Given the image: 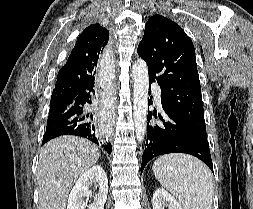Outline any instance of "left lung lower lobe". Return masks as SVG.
I'll use <instances>...</instances> for the list:
<instances>
[{"label": "left lung lower lobe", "instance_id": "1", "mask_svg": "<svg viewBox=\"0 0 253 209\" xmlns=\"http://www.w3.org/2000/svg\"><path fill=\"white\" fill-rule=\"evenodd\" d=\"M153 81L149 79V83ZM152 99V98H150ZM152 101H148V107ZM163 107V106H162ZM164 116L159 115L158 124L150 122L157 112L148 110L147 139L142 156L141 173L146 164L156 156L168 153H187L202 160L212 171L213 165L207 137L184 125L164 107Z\"/></svg>", "mask_w": 253, "mask_h": 209}]
</instances>
